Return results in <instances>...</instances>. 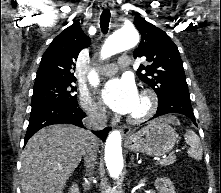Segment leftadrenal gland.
<instances>
[{
	"mask_svg": "<svg viewBox=\"0 0 221 193\" xmlns=\"http://www.w3.org/2000/svg\"><path fill=\"white\" fill-rule=\"evenodd\" d=\"M132 166L133 167L138 166L137 164L134 163V157L133 156L131 157V162L129 163V167L131 168Z\"/></svg>",
	"mask_w": 221,
	"mask_h": 193,
	"instance_id": "left-adrenal-gland-1",
	"label": "left adrenal gland"
}]
</instances>
